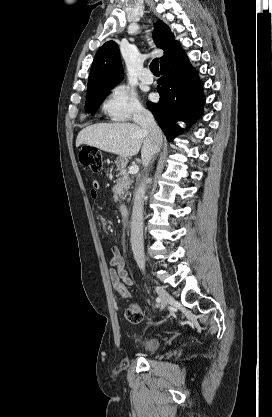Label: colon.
<instances>
[{
	"label": "colon",
	"instance_id": "1",
	"mask_svg": "<svg viewBox=\"0 0 272 417\" xmlns=\"http://www.w3.org/2000/svg\"><path fill=\"white\" fill-rule=\"evenodd\" d=\"M79 159L84 166L90 168L92 171H99L102 168V155L97 149L91 146L81 148ZM113 287L122 297L130 298V292L122 282H115ZM125 318L131 323L138 324L143 320L142 310L137 304L130 303L125 308Z\"/></svg>",
	"mask_w": 272,
	"mask_h": 417
}]
</instances>
